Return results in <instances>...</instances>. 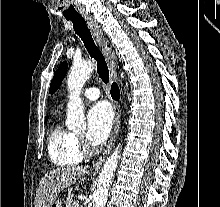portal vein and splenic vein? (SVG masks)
Masks as SVG:
<instances>
[{"mask_svg":"<svg viewBox=\"0 0 220 207\" xmlns=\"http://www.w3.org/2000/svg\"><path fill=\"white\" fill-rule=\"evenodd\" d=\"M73 207H79V204H78L77 201H74V202H73Z\"/></svg>","mask_w":220,"mask_h":207,"instance_id":"obj_1","label":"portal vein and splenic vein"}]
</instances>
